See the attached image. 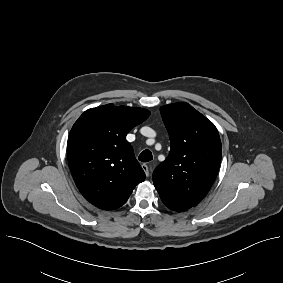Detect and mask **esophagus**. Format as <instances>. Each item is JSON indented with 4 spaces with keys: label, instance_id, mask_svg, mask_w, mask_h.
I'll return each mask as SVG.
<instances>
[{
    "label": "esophagus",
    "instance_id": "obj_1",
    "mask_svg": "<svg viewBox=\"0 0 283 283\" xmlns=\"http://www.w3.org/2000/svg\"><path fill=\"white\" fill-rule=\"evenodd\" d=\"M142 168H143L146 176H149V171H150L149 166L147 164H142Z\"/></svg>",
    "mask_w": 283,
    "mask_h": 283
}]
</instances>
